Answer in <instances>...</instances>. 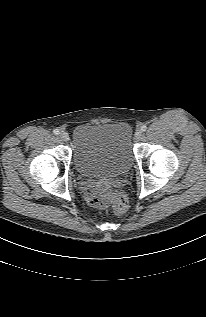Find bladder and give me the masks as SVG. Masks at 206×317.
Masks as SVG:
<instances>
[{
    "instance_id": "31cf9c89",
    "label": "bladder",
    "mask_w": 206,
    "mask_h": 317,
    "mask_svg": "<svg viewBox=\"0 0 206 317\" xmlns=\"http://www.w3.org/2000/svg\"><path fill=\"white\" fill-rule=\"evenodd\" d=\"M132 138V129L124 122L77 126L73 132L76 171L90 180L127 173L133 163Z\"/></svg>"
}]
</instances>
